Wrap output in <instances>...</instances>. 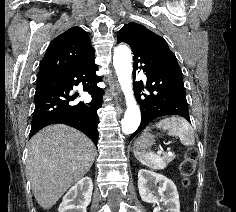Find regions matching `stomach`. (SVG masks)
Segmentation results:
<instances>
[{"label": "stomach", "mask_w": 236, "mask_h": 212, "mask_svg": "<svg viewBox=\"0 0 236 212\" xmlns=\"http://www.w3.org/2000/svg\"><path fill=\"white\" fill-rule=\"evenodd\" d=\"M154 142V137L150 133H143L134 143V152L146 151Z\"/></svg>", "instance_id": "stomach-1"}]
</instances>
